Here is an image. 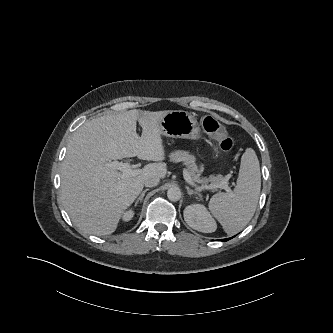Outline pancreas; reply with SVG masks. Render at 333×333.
I'll use <instances>...</instances> for the list:
<instances>
[{
	"mask_svg": "<svg viewBox=\"0 0 333 333\" xmlns=\"http://www.w3.org/2000/svg\"><path fill=\"white\" fill-rule=\"evenodd\" d=\"M170 161L172 162H181L183 161L186 167L189 170V175L192 178L193 182L196 184H200L201 186L207 185L210 183V185L219 186L222 183H227L228 178L223 177L222 175L217 176H210L209 178H202L200 177V173L198 170L197 165L195 164V157L193 155H190L186 151H175L170 153L169 155Z\"/></svg>",
	"mask_w": 333,
	"mask_h": 333,
	"instance_id": "cf45deb5",
	"label": "pancreas"
}]
</instances>
